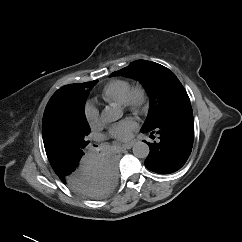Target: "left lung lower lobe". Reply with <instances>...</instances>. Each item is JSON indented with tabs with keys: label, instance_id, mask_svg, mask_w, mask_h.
I'll list each match as a JSON object with an SVG mask.
<instances>
[{
	"label": "left lung lower lobe",
	"instance_id": "obj_1",
	"mask_svg": "<svg viewBox=\"0 0 242 242\" xmlns=\"http://www.w3.org/2000/svg\"><path fill=\"white\" fill-rule=\"evenodd\" d=\"M141 132L157 133L159 143H149L150 153L145 166L158 174L178 171L191 154L194 141V120L190 103L170 111L152 128ZM152 137V136H151Z\"/></svg>",
	"mask_w": 242,
	"mask_h": 242
}]
</instances>
